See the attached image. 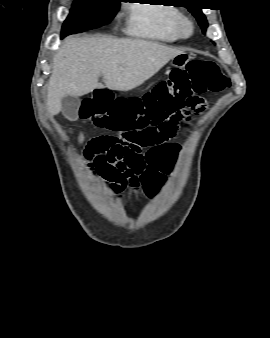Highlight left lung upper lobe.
I'll use <instances>...</instances> for the list:
<instances>
[{
    "instance_id": "obj_1",
    "label": "left lung upper lobe",
    "mask_w": 270,
    "mask_h": 338,
    "mask_svg": "<svg viewBox=\"0 0 270 338\" xmlns=\"http://www.w3.org/2000/svg\"><path fill=\"white\" fill-rule=\"evenodd\" d=\"M191 2H194V4H201V3H197V2H201V1H191ZM187 8L196 17L199 25L202 28V31L205 32L206 28L208 26V23H207V19H206L205 15L201 11L202 8L200 6H197V5L188 6Z\"/></svg>"
}]
</instances>
